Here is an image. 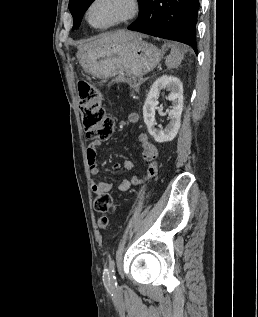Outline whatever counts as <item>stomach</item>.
I'll list each match as a JSON object with an SVG mask.
<instances>
[{
    "instance_id": "1",
    "label": "stomach",
    "mask_w": 258,
    "mask_h": 317,
    "mask_svg": "<svg viewBox=\"0 0 258 317\" xmlns=\"http://www.w3.org/2000/svg\"><path fill=\"white\" fill-rule=\"evenodd\" d=\"M162 54L163 50L142 40L140 34L126 42L78 48L76 52L80 66L99 78H109L122 72H129L131 76H143L159 64Z\"/></svg>"
}]
</instances>
